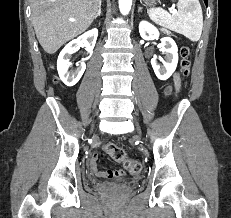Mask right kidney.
<instances>
[{
  "label": "right kidney",
  "mask_w": 231,
  "mask_h": 218,
  "mask_svg": "<svg viewBox=\"0 0 231 218\" xmlns=\"http://www.w3.org/2000/svg\"><path fill=\"white\" fill-rule=\"evenodd\" d=\"M97 36L98 30L96 28L91 29L90 31L79 36L77 39L69 42L60 52L57 60V70L60 79L67 86H74L80 80L86 69V64L84 62L85 59H82V62L77 65L78 68L73 72H69V67L71 65L70 56L75 53L80 46H84L86 51L91 53L95 46Z\"/></svg>",
  "instance_id": "obj_1"
}]
</instances>
